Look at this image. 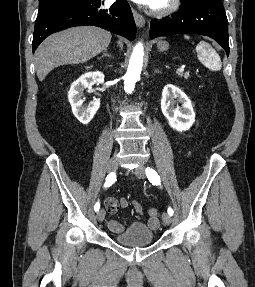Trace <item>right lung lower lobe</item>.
Instances as JSON below:
<instances>
[{"label":"right lung lower lobe","instance_id":"right-lung-lower-lobe-1","mask_svg":"<svg viewBox=\"0 0 255 287\" xmlns=\"http://www.w3.org/2000/svg\"><path fill=\"white\" fill-rule=\"evenodd\" d=\"M84 25L98 26L129 40L135 39L136 25L127 0H117L108 10L93 4L57 6L38 13L33 53L50 34Z\"/></svg>","mask_w":255,"mask_h":287}]
</instances>
